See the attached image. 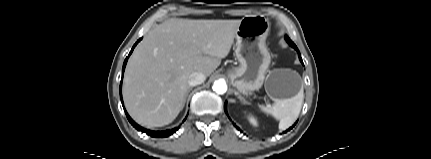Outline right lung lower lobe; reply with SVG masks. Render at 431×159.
Instances as JSON below:
<instances>
[{"instance_id":"1","label":"right lung lower lobe","mask_w":431,"mask_h":159,"mask_svg":"<svg viewBox=\"0 0 431 159\" xmlns=\"http://www.w3.org/2000/svg\"><path fill=\"white\" fill-rule=\"evenodd\" d=\"M140 40H141V39H139V40L135 43V45L133 46V48H132V50H131L130 54L132 53V51H133L134 47L136 46V44H137ZM130 54H129V55H130ZM129 55H128V57H129ZM128 57L125 59L124 64H123V68H122V77H123V73H124V69H125V66H126V63H127ZM121 86H122V79H121V83H120V98H121V102H122V105H123L122 93H121ZM123 108H124V105H123ZM124 111H125V113H126L127 119H128V120H129V122L133 125V127H135L138 131H142V132H144V133H146V134L150 135L151 137H161V138H163V137H168V136L172 135L173 133H175V132L178 130V128H179V127H177V128H174V129H171V130H166V131H151V130H147V129H144L143 127H140L138 124H136V123H135V122L130 118V116H129V115H128V113L126 112L125 108H124Z\"/></svg>"}]
</instances>
